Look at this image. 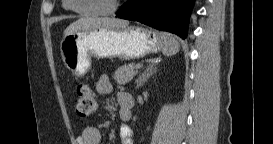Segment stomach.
Returning <instances> with one entry per match:
<instances>
[{"label": "stomach", "instance_id": "obj_1", "mask_svg": "<svg viewBox=\"0 0 273 144\" xmlns=\"http://www.w3.org/2000/svg\"><path fill=\"white\" fill-rule=\"evenodd\" d=\"M60 50L67 69L82 77L88 72L92 57L138 59L161 51L162 42L158 33L140 27H102L64 36Z\"/></svg>", "mask_w": 273, "mask_h": 144}]
</instances>
